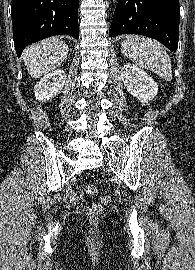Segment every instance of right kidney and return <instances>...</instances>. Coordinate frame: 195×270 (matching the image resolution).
<instances>
[{"label": "right kidney", "instance_id": "right-kidney-1", "mask_svg": "<svg viewBox=\"0 0 195 270\" xmlns=\"http://www.w3.org/2000/svg\"><path fill=\"white\" fill-rule=\"evenodd\" d=\"M66 73L63 70H55L45 75L34 88L35 98L46 101L56 96L63 88Z\"/></svg>", "mask_w": 195, "mask_h": 270}]
</instances>
